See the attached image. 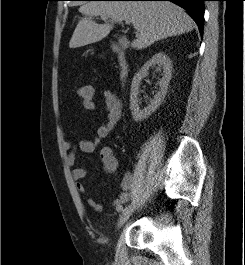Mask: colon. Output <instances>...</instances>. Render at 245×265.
Returning <instances> with one entry per match:
<instances>
[{
	"mask_svg": "<svg viewBox=\"0 0 245 265\" xmlns=\"http://www.w3.org/2000/svg\"><path fill=\"white\" fill-rule=\"evenodd\" d=\"M77 93L82 103H88L94 100L95 89L92 85H83L78 88Z\"/></svg>",
	"mask_w": 245,
	"mask_h": 265,
	"instance_id": "colon-1",
	"label": "colon"
}]
</instances>
